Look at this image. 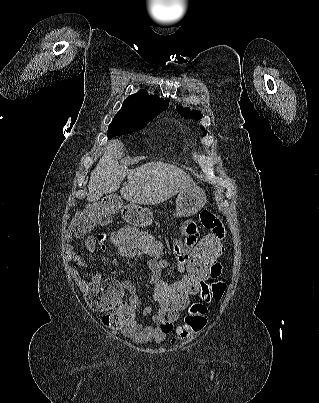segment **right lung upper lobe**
Returning <instances> with one entry per match:
<instances>
[{"label":"right lung upper lobe","instance_id":"right-lung-upper-lobe-1","mask_svg":"<svg viewBox=\"0 0 319 403\" xmlns=\"http://www.w3.org/2000/svg\"><path fill=\"white\" fill-rule=\"evenodd\" d=\"M168 105V99L163 101L157 95L149 96L146 91L140 90L126 98L117 115L135 120H145L157 116L166 110Z\"/></svg>","mask_w":319,"mask_h":403}]
</instances>
